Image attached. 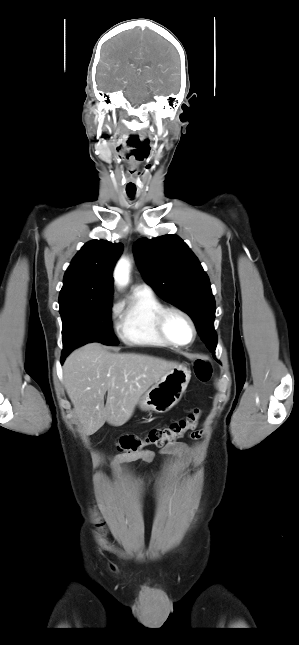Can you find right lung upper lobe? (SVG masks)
Returning a JSON list of instances; mask_svg holds the SVG:
<instances>
[{
    "label": "right lung upper lobe",
    "mask_w": 299,
    "mask_h": 645,
    "mask_svg": "<svg viewBox=\"0 0 299 645\" xmlns=\"http://www.w3.org/2000/svg\"><path fill=\"white\" fill-rule=\"evenodd\" d=\"M122 251V243L113 244L104 240L86 243L65 272L59 304L72 299L112 296V272Z\"/></svg>",
    "instance_id": "obj_1"
}]
</instances>
